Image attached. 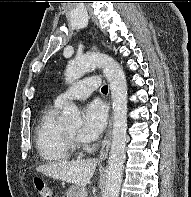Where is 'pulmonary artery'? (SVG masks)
I'll use <instances>...</instances> for the list:
<instances>
[{
    "label": "pulmonary artery",
    "mask_w": 191,
    "mask_h": 197,
    "mask_svg": "<svg viewBox=\"0 0 191 197\" xmlns=\"http://www.w3.org/2000/svg\"><path fill=\"white\" fill-rule=\"evenodd\" d=\"M100 86V81L97 76H91L85 78L69 89L59 94L54 103L58 106H62L64 103L71 100H81L88 98L94 90H96Z\"/></svg>",
    "instance_id": "e3ab8cb5"
}]
</instances>
